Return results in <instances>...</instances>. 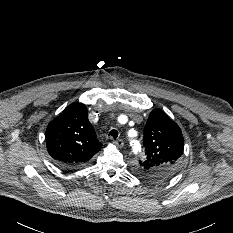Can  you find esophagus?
Segmentation results:
<instances>
[{"mask_svg": "<svg viewBox=\"0 0 233 233\" xmlns=\"http://www.w3.org/2000/svg\"><path fill=\"white\" fill-rule=\"evenodd\" d=\"M114 144H115L117 147L122 148L123 145H124V142H123L122 139H117V140L114 141Z\"/></svg>", "mask_w": 233, "mask_h": 233, "instance_id": "34e87169", "label": "esophagus"}]
</instances>
